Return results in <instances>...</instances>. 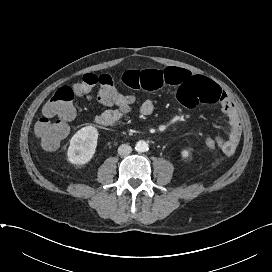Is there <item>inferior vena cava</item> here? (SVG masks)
<instances>
[{
    "instance_id": "obj_1",
    "label": "inferior vena cava",
    "mask_w": 272,
    "mask_h": 272,
    "mask_svg": "<svg viewBox=\"0 0 272 272\" xmlns=\"http://www.w3.org/2000/svg\"><path fill=\"white\" fill-rule=\"evenodd\" d=\"M131 152H132V148H131V146L128 145V144H122V145H120L119 148H118V153H119L120 155H128V154H130Z\"/></svg>"
}]
</instances>
